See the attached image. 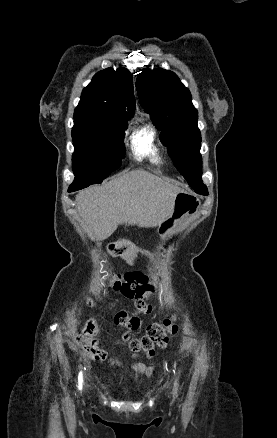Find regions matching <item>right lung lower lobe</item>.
<instances>
[{"instance_id":"obj_1","label":"right lung lower lobe","mask_w":277,"mask_h":438,"mask_svg":"<svg viewBox=\"0 0 277 438\" xmlns=\"http://www.w3.org/2000/svg\"><path fill=\"white\" fill-rule=\"evenodd\" d=\"M79 189H80L79 187L74 188V187L70 186L68 191L72 192V191H76V190H79Z\"/></svg>"}]
</instances>
